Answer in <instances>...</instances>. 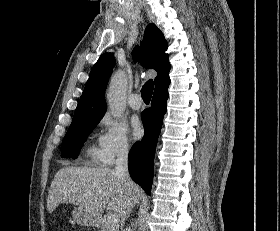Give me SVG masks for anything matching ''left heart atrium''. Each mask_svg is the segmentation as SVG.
Masks as SVG:
<instances>
[{"mask_svg":"<svg viewBox=\"0 0 280 231\" xmlns=\"http://www.w3.org/2000/svg\"><path fill=\"white\" fill-rule=\"evenodd\" d=\"M129 130L134 140L140 139L144 134V127L138 117L131 118L129 122Z\"/></svg>","mask_w":280,"mask_h":231,"instance_id":"left-heart-atrium-1","label":"left heart atrium"}]
</instances>
